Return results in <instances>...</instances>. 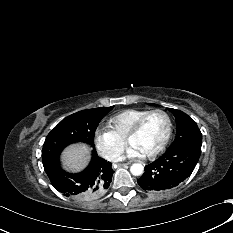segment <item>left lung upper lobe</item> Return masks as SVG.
I'll return each instance as SVG.
<instances>
[{"instance_id": "left-lung-upper-lobe-1", "label": "left lung upper lobe", "mask_w": 233, "mask_h": 233, "mask_svg": "<svg viewBox=\"0 0 233 233\" xmlns=\"http://www.w3.org/2000/svg\"><path fill=\"white\" fill-rule=\"evenodd\" d=\"M155 105V104H149ZM176 118L177 135L169 148L194 147L201 149L202 134L196 122L186 113L172 108H167Z\"/></svg>"}]
</instances>
